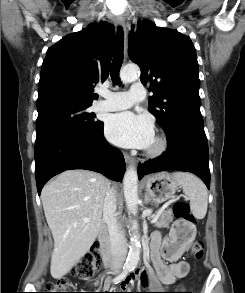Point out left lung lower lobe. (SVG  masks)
<instances>
[{
  "label": "left lung lower lobe",
  "instance_id": "1",
  "mask_svg": "<svg viewBox=\"0 0 245 293\" xmlns=\"http://www.w3.org/2000/svg\"><path fill=\"white\" fill-rule=\"evenodd\" d=\"M168 149L156 159L138 166V177L167 171H187L197 175L210 188L208 142L204 126L180 122L165 130Z\"/></svg>",
  "mask_w": 245,
  "mask_h": 293
}]
</instances>
